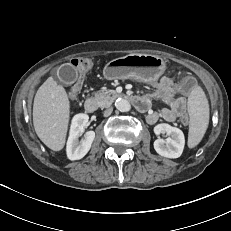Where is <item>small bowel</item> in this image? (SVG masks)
Here are the masks:
<instances>
[{
    "label": "small bowel",
    "mask_w": 231,
    "mask_h": 231,
    "mask_svg": "<svg viewBox=\"0 0 231 231\" xmlns=\"http://www.w3.org/2000/svg\"><path fill=\"white\" fill-rule=\"evenodd\" d=\"M180 88L170 78H162L157 86L156 92L152 96L142 97L148 104L147 122L155 124L159 120L174 122L186 116L187 99L183 96H177ZM152 99H155L164 105L157 111L149 109Z\"/></svg>",
    "instance_id": "small-bowel-1"
}]
</instances>
